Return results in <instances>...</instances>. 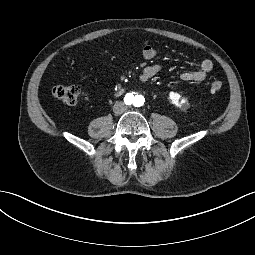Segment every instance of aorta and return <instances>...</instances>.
I'll use <instances>...</instances> for the list:
<instances>
[{"mask_svg":"<svg viewBox=\"0 0 255 255\" xmlns=\"http://www.w3.org/2000/svg\"><path fill=\"white\" fill-rule=\"evenodd\" d=\"M129 103H134L135 105H142L144 102V97L142 95H133V93L127 94Z\"/></svg>","mask_w":255,"mask_h":255,"instance_id":"1","label":"aorta"}]
</instances>
